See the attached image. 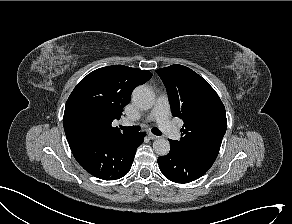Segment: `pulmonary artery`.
I'll list each match as a JSON object with an SVG mask.
<instances>
[{"label": "pulmonary artery", "mask_w": 292, "mask_h": 224, "mask_svg": "<svg viewBox=\"0 0 292 224\" xmlns=\"http://www.w3.org/2000/svg\"><path fill=\"white\" fill-rule=\"evenodd\" d=\"M155 120L161 130L172 140H176L180 137V132L177 127L170 121V105L166 96H160L157 98L154 107L147 117V121ZM127 125H131L132 122L126 120Z\"/></svg>", "instance_id": "obj_1"}]
</instances>
